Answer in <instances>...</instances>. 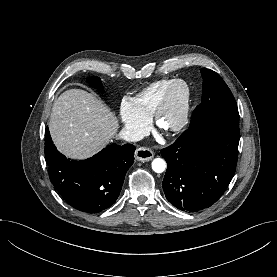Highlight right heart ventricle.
Masks as SVG:
<instances>
[{"instance_id":"right-heart-ventricle-1","label":"right heart ventricle","mask_w":277,"mask_h":277,"mask_svg":"<svg viewBox=\"0 0 277 277\" xmlns=\"http://www.w3.org/2000/svg\"><path fill=\"white\" fill-rule=\"evenodd\" d=\"M173 81V79H162L151 83L140 91L131 99L136 112L145 119H150L164 91Z\"/></svg>"}]
</instances>
